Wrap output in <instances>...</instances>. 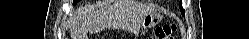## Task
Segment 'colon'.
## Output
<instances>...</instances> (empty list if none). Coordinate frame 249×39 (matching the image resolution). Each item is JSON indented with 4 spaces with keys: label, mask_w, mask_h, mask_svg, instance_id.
Returning <instances> with one entry per match:
<instances>
[{
    "label": "colon",
    "mask_w": 249,
    "mask_h": 39,
    "mask_svg": "<svg viewBox=\"0 0 249 39\" xmlns=\"http://www.w3.org/2000/svg\"><path fill=\"white\" fill-rule=\"evenodd\" d=\"M176 29L177 27L174 24H165L163 26L157 27L154 31V38L173 39Z\"/></svg>",
    "instance_id": "1"
}]
</instances>
